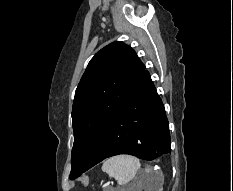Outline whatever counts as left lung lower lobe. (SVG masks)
<instances>
[{
    "mask_svg": "<svg viewBox=\"0 0 233 191\" xmlns=\"http://www.w3.org/2000/svg\"><path fill=\"white\" fill-rule=\"evenodd\" d=\"M169 153L171 144L165 109L149 72L145 70L112 119L81 174L102 160L119 154L153 160ZM80 175L70 179L74 180Z\"/></svg>",
    "mask_w": 233,
    "mask_h": 191,
    "instance_id": "1",
    "label": "left lung lower lobe"
}]
</instances>
